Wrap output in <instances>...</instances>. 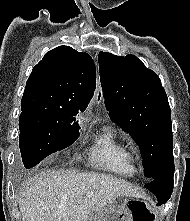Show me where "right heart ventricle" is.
Segmentation results:
<instances>
[{
  "instance_id": "e07e8e85",
  "label": "right heart ventricle",
  "mask_w": 190,
  "mask_h": 221,
  "mask_svg": "<svg viewBox=\"0 0 190 221\" xmlns=\"http://www.w3.org/2000/svg\"><path fill=\"white\" fill-rule=\"evenodd\" d=\"M90 161L96 167L120 176L136 173L133 152L112 127H106L92 139Z\"/></svg>"
}]
</instances>
